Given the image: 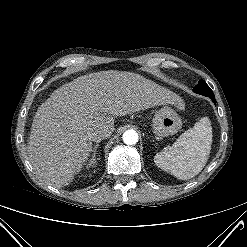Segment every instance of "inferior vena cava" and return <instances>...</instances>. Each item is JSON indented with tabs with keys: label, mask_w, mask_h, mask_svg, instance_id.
<instances>
[{
	"label": "inferior vena cava",
	"mask_w": 247,
	"mask_h": 247,
	"mask_svg": "<svg viewBox=\"0 0 247 247\" xmlns=\"http://www.w3.org/2000/svg\"><path fill=\"white\" fill-rule=\"evenodd\" d=\"M106 133L103 130H95L88 135L89 140L99 142L106 138Z\"/></svg>",
	"instance_id": "602c4592"
}]
</instances>
